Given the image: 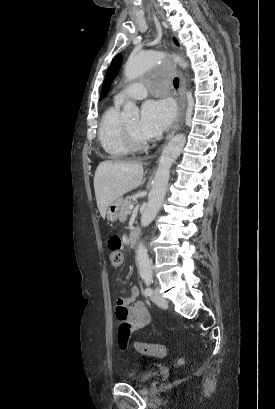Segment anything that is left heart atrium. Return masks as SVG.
I'll return each mask as SVG.
<instances>
[{
    "mask_svg": "<svg viewBox=\"0 0 275 409\" xmlns=\"http://www.w3.org/2000/svg\"><path fill=\"white\" fill-rule=\"evenodd\" d=\"M173 116L174 110L170 103L149 100L142 107L139 130L148 139L156 138L169 127Z\"/></svg>",
    "mask_w": 275,
    "mask_h": 409,
    "instance_id": "1",
    "label": "left heart atrium"
}]
</instances>
